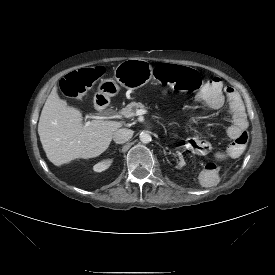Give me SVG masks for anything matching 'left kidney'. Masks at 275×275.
I'll return each instance as SVG.
<instances>
[{"instance_id": "1", "label": "left kidney", "mask_w": 275, "mask_h": 275, "mask_svg": "<svg viewBox=\"0 0 275 275\" xmlns=\"http://www.w3.org/2000/svg\"><path fill=\"white\" fill-rule=\"evenodd\" d=\"M171 158H172V161L174 162L173 164L175 168L179 169L185 165L183 155L180 152H177V151L173 152Z\"/></svg>"}]
</instances>
